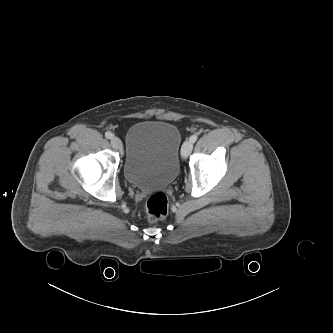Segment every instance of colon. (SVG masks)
I'll return each instance as SVG.
<instances>
[{"label": "colon", "mask_w": 333, "mask_h": 333, "mask_svg": "<svg viewBox=\"0 0 333 333\" xmlns=\"http://www.w3.org/2000/svg\"><path fill=\"white\" fill-rule=\"evenodd\" d=\"M168 213V198L163 193H156L149 197L146 203V216L148 221L157 222L166 217Z\"/></svg>", "instance_id": "5ec220e1"}]
</instances>
